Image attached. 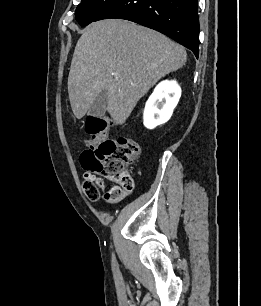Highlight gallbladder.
<instances>
[{
	"label": "gallbladder",
	"mask_w": 261,
	"mask_h": 306,
	"mask_svg": "<svg viewBox=\"0 0 261 306\" xmlns=\"http://www.w3.org/2000/svg\"><path fill=\"white\" fill-rule=\"evenodd\" d=\"M107 101L108 93L107 90L104 89L99 93L94 102L91 104L88 110L89 114L94 117H103L105 114Z\"/></svg>",
	"instance_id": "gallbladder-1"
}]
</instances>
